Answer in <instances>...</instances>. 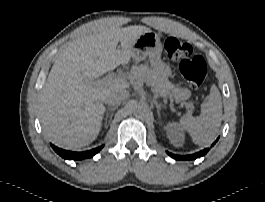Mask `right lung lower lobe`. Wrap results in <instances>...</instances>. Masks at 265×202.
<instances>
[{
	"label": "right lung lower lobe",
	"mask_w": 265,
	"mask_h": 202,
	"mask_svg": "<svg viewBox=\"0 0 265 202\" xmlns=\"http://www.w3.org/2000/svg\"><path fill=\"white\" fill-rule=\"evenodd\" d=\"M51 146L55 150V152H57V154H59L61 157H63L64 159H70V160H81V159L93 157L103 148V145H102L95 149L88 150L85 152H71V151L60 149L52 144Z\"/></svg>",
	"instance_id": "98d812e1"
}]
</instances>
